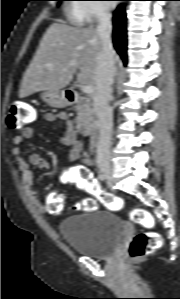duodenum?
I'll use <instances>...</instances> for the list:
<instances>
[{
	"label": "duodenum",
	"instance_id": "1",
	"mask_svg": "<svg viewBox=\"0 0 180 299\" xmlns=\"http://www.w3.org/2000/svg\"><path fill=\"white\" fill-rule=\"evenodd\" d=\"M66 100L69 104L75 103L79 98V93L75 89H69L65 92ZM81 132L83 135L88 136L91 135L94 131V126L89 123H81Z\"/></svg>",
	"mask_w": 180,
	"mask_h": 299
}]
</instances>
